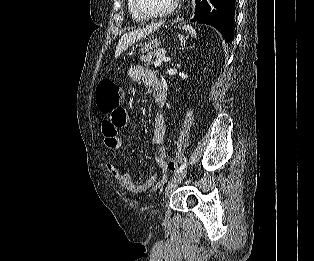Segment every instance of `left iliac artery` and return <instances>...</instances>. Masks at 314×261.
<instances>
[{"mask_svg":"<svg viewBox=\"0 0 314 261\" xmlns=\"http://www.w3.org/2000/svg\"><path fill=\"white\" fill-rule=\"evenodd\" d=\"M186 163H187V161H185V162L177 169L175 175H176V174H179L180 172L183 171V169L186 167Z\"/></svg>","mask_w":314,"mask_h":261,"instance_id":"1","label":"left iliac artery"}]
</instances>
